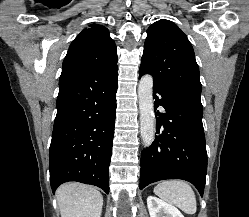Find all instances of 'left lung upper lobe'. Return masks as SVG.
<instances>
[{"label":"left lung upper lobe","mask_w":249,"mask_h":217,"mask_svg":"<svg viewBox=\"0 0 249 217\" xmlns=\"http://www.w3.org/2000/svg\"><path fill=\"white\" fill-rule=\"evenodd\" d=\"M140 71L154 82L201 94L199 68L187 36L173 22L161 19L147 30Z\"/></svg>","instance_id":"obj_1"}]
</instances>
